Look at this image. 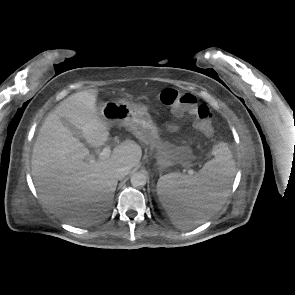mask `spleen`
<instances>
[{
    "mask_svg": "<svg viewBox=\"0 0 295 295\" xmlns=\"http://www.w3.org/2000/svg\"><path fill=\"white\" fill-rule=\"evenodd\" d=\"M213 159L194 176L169 173L157 182V194L168 215L179 227L191 228L217 209L228 196L235 162L226 143L212 149Z\"/></svg>",
    "mask_w": 295,
    "mask_h": 295,
    "instance_id": "3e777b00",
    "label": "spleen"
}]
</instances>
